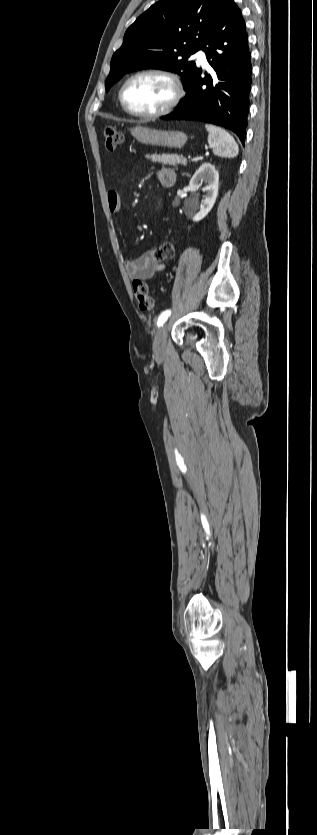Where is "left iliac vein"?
<instances>
[{
    "label": "left iliac vein",
    "instance_id": "obj_1",
    "mask_svg": "<svg viewBox=\"0 0 317 835\" xmlns=\"http://www.w3.org/2000/svg\"><path fill=\"white\" fill-rule=\"evenodd\" d=\"M167 342V325H163L155 337L153 343V352L156 358L164 355Z\"/></svg>",
    "mask_w": 317,
    "mask_h": 835
}]
</instances>
